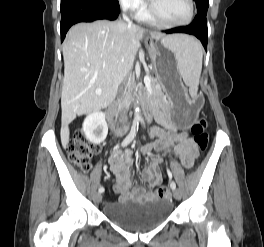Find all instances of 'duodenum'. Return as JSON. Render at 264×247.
I'll list each match as a JSON object with an SVG mask.
<instances>
[{"label": "duodenum", "mask_w": 264, "mask_h": 247, "mask_svg": "<svg viewBox=\"0 0 264 247\" xmlns=\"http://www.w3.org/2000/svg\"><path fill=\"white\" fill-rule=\"evenodd\" d=\"M119 110V106L117 104H112L108 110L107 116L110 123V127L114 132H119L120 129L116 126V124L113 121V116L115 113Z\"/></svg>", "instance_id": "1"}]
</instances>
